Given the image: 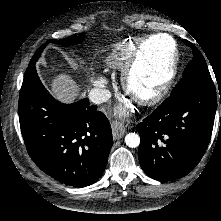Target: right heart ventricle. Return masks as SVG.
Returning <instances> with one entry per match:
<instances>
[{"instance_id":"e07e8e85","label":"right heart ventricle","mask_w":221,"mask_h":221,"mask_svg":"<svg viewBox=\"0 0 221 221\" xmlns=\"http://www.w3.org/2000/svg\"><path fill=\"white\" fill-rule=\"evenodd\" d=\"M141 39V37H130L113 44L104 56V71L122 72Z\"/></svg>"}]
</instances>
